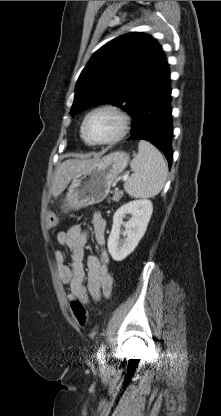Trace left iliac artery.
Listing matches in <instances>:
<instances>
[{
    "instance_id": "left-iliac-artery-1",
    "label": "left iliac artery",
    "mask_w": 221,
    "mask_h": 416,
    "mask_svg": "<svg viewBox=\"0 0 221 416\" xmlns=\"http://www.w3.org/2000/svg\"><path fill=\"white\" fill-rule=\"evenodd\" d=\"M105 345H102L98 352H97V358L99 359V361H101V363L104 362V353H105Z\"/></svg>"
}]
</instances>
